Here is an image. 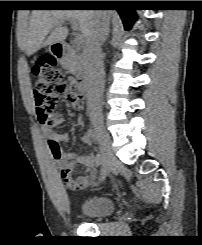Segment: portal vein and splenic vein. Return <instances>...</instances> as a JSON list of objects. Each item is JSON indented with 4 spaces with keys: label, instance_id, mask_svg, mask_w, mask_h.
Masks as SVG:
<instances>
[{
    "label": "portal vein and splenic vein",
    "instance_id": "1",
    "mask_svg": "<svg viewBox=\"0 0 202 245\" xmlns=\"http://www.w3.org/2000/svg\"><path fill=\"white\" fill-rule=\"evenodd\" d=\"M58 24H63V22H62V23H58ZM70 24H71L73 30L77 31V29H78V24H77V22H76L75 20H70ZM83 39H84V36H83V35H81V34H76V36H75V42H76L78 45H80V44L83 43Z\"/></svg>",
    "mask_w": 202,
    "mask_h": 245
}]
</instances>
